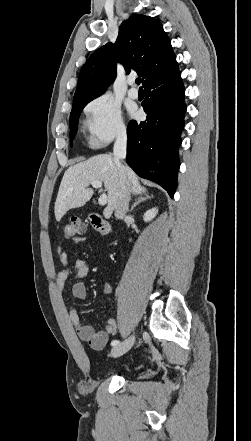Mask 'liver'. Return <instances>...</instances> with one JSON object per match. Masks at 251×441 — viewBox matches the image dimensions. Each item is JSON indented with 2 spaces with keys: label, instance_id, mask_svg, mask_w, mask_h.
Wrapping results in <instances>:
<instances>
[{
  "label": "liver",
  "instance_id": "liver-1",
  "mask_svg": "<svg viewBox=\"0 0 251 441\" xmlns=\"http://www.w3.org/2000/svg\"><path fill=\"white\" fill-rule=\"evenodd\" d=\"M124 168L130 192L135 195L145 193L146 189L140 185L135 172L128 166ZM97 180L103 182L108 192V204L103 215L110 218L119 199V169L111 155L100 154L70 166L65 171L54 207L56 220L60 221L68 210L84 206L94 193L88 186Z\"/></svg>",
  "mask_w": 251,
  "mask_h": 441
}]
</instances>
